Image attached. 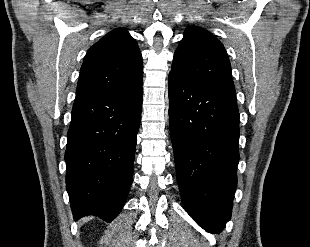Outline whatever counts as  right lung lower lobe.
I'll return each instance as SVG.
<instances>
[{"label":"right lung lower lobe","instance_id":"1","mask_svg":"<svg viewBox=\"0 0 310 247\" xmlns=\"http://www.w3.org/2000/svg\"><path fill=\"white\" fill-rule=\"evenodd\" d=\"M141 109L142 84L76 97L65 152L75 220L94 214L111 222L122 209L133 176Z\"/></svg>","mask_w":310,"mask_h":247}]
</instances>
